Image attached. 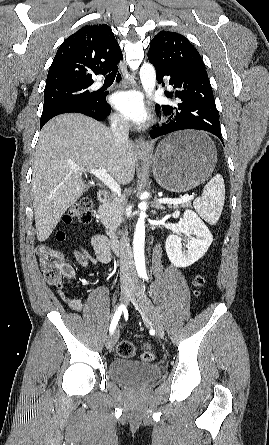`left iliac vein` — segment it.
<instances>
[{
  "mask_svg": "<svg viewBox=\"0 0 269 445\" xmlns=\"http://www.w3.org/2000/svg\"><path fill=\"white\" fill-rule=\"evenodd\" d=\"M130 300L141 313L144 323L153 327L158 337L164 338L165 333L162 320L157 309L146 296L142 285H138Z\"/></svg>",
  "mask_w": 269,
  "mask_h": 445,
  "instance_id": "left-iliac-vein-1",
  "label": "left iliac vein"
}]
</instances>
